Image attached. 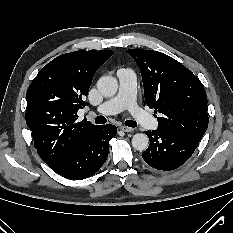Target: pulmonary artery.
<instances>
[{"label":"pulmonary artery","instance_id":"obj_1","mask_svg":"<svg viewBox=\"0 0 233 233\" xmlns=\"http://www.w3.org/2000/svg\"><path fill=\"white\" fill-rule=\"evenodd\" d=\"M119 89L117 94L103 102L96 109L101 115H113L128 110L134 119L145 129L157 128L156 120L147 112L143 111L136 101L137 76L131 69H119L117 71Z\"/></svg>","mask_w":233,"mask_h":233}]
</instances>
